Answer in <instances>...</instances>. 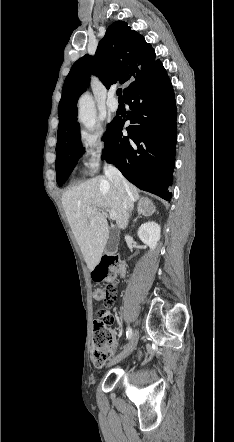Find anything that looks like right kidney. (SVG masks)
Here are the masks:
<instances>
[{"mask_svg":"<svg viewBox=\"0 0 234 442\" xmlns=\"http://www.w3.org/2000/svg\"><path fill=\"white\" fill-rule=\"evenodd\" d=\"M160 232L161 228L157 223L146 222L139 227L138 237L143 243L148 245L151 250H154L160 239Z\"/></svg>","mask_w":234,"mask_h":442,"instance_id":"ca27d5eb","label":"right kidney"}]
</instances>
